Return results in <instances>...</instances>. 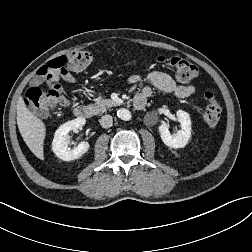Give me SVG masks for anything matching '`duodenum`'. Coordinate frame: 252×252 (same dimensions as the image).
Wrapping results in <instances>:
<instances>
[{
	"mask_svg": "<svg viewBox=\"0 0 252 252\" xmlns=\"http://www.w3.org/2000/svg\"><path fill=\"white\" fill-rule=\"evenodd\" d=\"M137 109L144 107L145 103L140 101L136 103ZM74 114L76 117L81 119H88L94 116V108L91 106L81 105L74 109Z\"/></svg>",
	"mask_w": 252,
	"mask_h": 252,
	"instance_id": "1",
	"label": "duodenum"
}]
</instances>
